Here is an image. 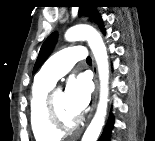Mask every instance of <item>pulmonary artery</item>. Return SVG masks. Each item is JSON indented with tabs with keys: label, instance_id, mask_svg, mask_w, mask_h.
<instances>
[{
	"label": "pulmonary artery",
	"instance_id": "e3ab8cb5",
	"mask_svg": "<svg viewBox=\"0 0 155 141\" xmlns=\"http://www.w3.org/2000/svg\"><path fill=\"white\" fill-rule=\"evenodd\" d=\"M86 56V51L81 46H69L53 55L37 74V79L53 84L64 76L73 65Z\"/></svg>",
	"mask_w": 155,
	"mask_h": 141
}]
</instances>
